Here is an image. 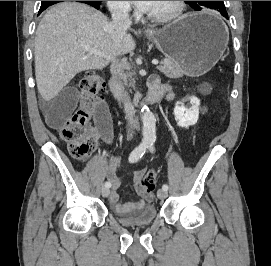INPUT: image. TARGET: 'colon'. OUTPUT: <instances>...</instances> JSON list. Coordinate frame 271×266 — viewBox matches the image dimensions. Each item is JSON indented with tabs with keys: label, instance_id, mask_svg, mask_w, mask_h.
<instances>
[{
	"label": "colon",
	"instance_id": "1",
	"mask_svg": "<svg viewBox=\"0 0 271 266\" xmlns=\"http://www.w3.org/2000/svg\"><path fill=\"white\" fill-rule=\"evenodd\" d=\"M80 103L62 128L61 135L68 144L70 154L83 158L96 146V138L89 128V120L95 108L102 100L103 81L94 72L87 73L79 83ZM157 182V173L148 171L140 181V186L152 192Z\"/></svg>",
	"mask_w": 271,
	"mask_h": 266
}]
</instances>
